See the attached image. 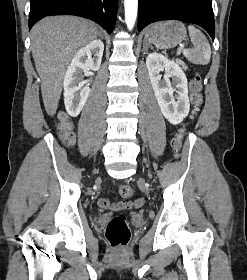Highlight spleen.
<instances>
[{"label":"spleen","mask_w":247,"mask_h":280,"mask_svg":"<svg viewBox=\"0 0 247 280\" xmlns=\"http://www.w3.org/2000/svg\"><path fill=\"white\" fill-rule=\"evenodd\" d=\"M192 49H183V55L193 64L207 65L211 58L210 44L205 35L193 25L188 26Z\"/></svg>","instance_id":"spleen-1"}]
</instances>
